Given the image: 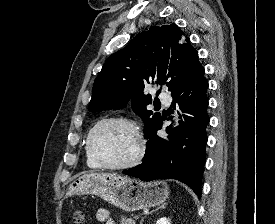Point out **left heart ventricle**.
Here are the masks:
<instances>
[{
	"label": "left heart ventricle",
	"mask_w": 275,
	"mask_h": 224,
	"mask_svg": "<svg viewBox=\"0 0 275 224\" xmlns=\"http://www.w3.org/2000/svg\"><path fill=\"white\" fill-rule=\"evenodd\" d=\"M97 154L107 163L121 164L136 153L137 142L132 130L123 123L113 122L101 126L93 138Z\"/></svg>",
	"instance_id": "obj_1"
}]
</instances>
